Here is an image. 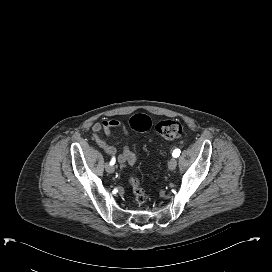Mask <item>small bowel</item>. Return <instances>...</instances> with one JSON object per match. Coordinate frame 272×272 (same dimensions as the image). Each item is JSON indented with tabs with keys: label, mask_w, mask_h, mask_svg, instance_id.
<instances>
[{
	"label": "small bowel",
	"mask_w": 272,
	"mask_h": 272,
	"mask_svg": "<svg viewBox=\"0 0 272 272\" xmlns=\"http://www.w3.org/2000/svg\"><path fill=\"white\" fill-rule=\"evenodd\" d=\"M93 138L95 142L102 148L107 154L117 157L118 162L123 167L131 166L137 161V155L131 151L128 146H124L122 151L117 155L116 148L108 143V141L101 135L102 132L105 134H111L115 130H120L124 135H128V129L126 125L117 119L103 120L96 123L92 127Z\"/></svg>",
	"instance_id": "c3829d8e"
}]
</instances>
